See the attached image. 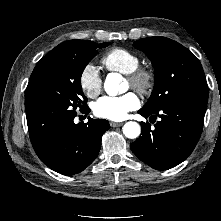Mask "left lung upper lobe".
<instances>
[{
	"mask_svg": "<svg viewBox=\"0 0 221 221\" xmlns=\"http://www.w3.org/2000/svg\"><path fill=\"white\" fill-rule=\"evenodd\" d=\"M133 46L143 51L154 67V89L141 110L154 112L184 97L208 99L200 61L187 48L165 37L140 39Z\"/></svg>",
	"mask_w": 221,
	"mask_h": 221,
	"instance_id": "1",
	"label": "left lung upper lobe"
}]
</instances>
